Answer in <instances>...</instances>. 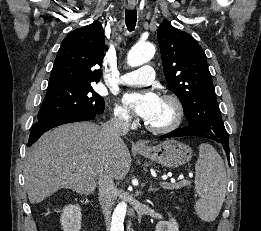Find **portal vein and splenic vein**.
<instances>
[{"label": "portal vein and splenic vein", "mask_w": 261, "mask_h": 231, "mask_svg": "<svg viewBox=\"0 0 261 231\" xmlns=\"http://www.w3.org/2000/svg\"><path fill=\"white\" fill-rule=\"evenodd\" d=\"M162 185H173V186H179V185H182V184H190V181L188 180H181L179 183H176L174 179H171V183H168V182H162L161 183Z\"/></svg>", "instance_id": "portal-vein-and-splenic-vein-1"}]
</instances>
